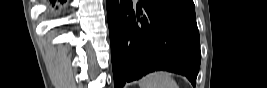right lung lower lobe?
Listing matches in <instances>:
<instances>
[{
  "mask_svg": "<svg viewBox=\"0 0 267 88\" xmlns=\"http://www.w3.org/2000/svg\"><path fill=\"white\" fill-rule=\"evenodd\" d=\"M51 2H52V0H51ZM54 4H55V1L52 3V6H54Z\"/></svg>",
  "mask_w": 267,
  "mask_h": 88,
  "instance_id": "1",
  "label": "right lung lower lobe"
}]
</instances>
